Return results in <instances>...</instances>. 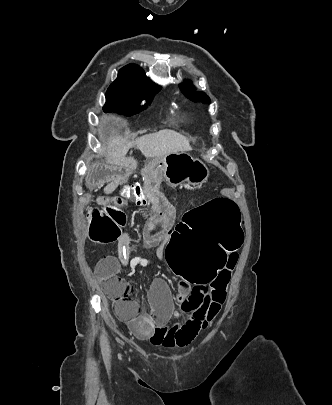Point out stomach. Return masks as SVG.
<instances>
[{
    "instance_id": "1",
    "label": "stomach",
    "mask_w": 332,
    "mask_h": 405,
    "mask_svg": "<svg viewBox=\"0 0 332 405\" xmlns=\"http://www.w3.org/2000/svg\"><path fill=\"white\" fill-rule=\"evenodd\" d=\"M160 161L162 174L172 185L188 182L199 186L209 177L207 166L183 151L168 154Z\"/></svg>"
}]
</instances>
